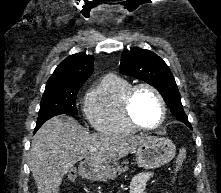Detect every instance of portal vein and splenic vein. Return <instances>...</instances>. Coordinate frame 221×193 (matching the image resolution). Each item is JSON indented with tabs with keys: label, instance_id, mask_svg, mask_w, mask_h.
<instances>
[{
	"label": "portal vein and splenic vein",
	"instance_id": "obj_1",
	"mask_svg": "<svg viewBox=\"0 0 221 193\" xmlns=\"http://www.w3.org/2000/svg\"><path fill=\"white\" fill-rule=\"evenodd\" d=\"M91 151H96V149H95V148H92Z\"/></svg>",
	"mask_w": 221,
	"mask_h": 193
}]
</instances>
